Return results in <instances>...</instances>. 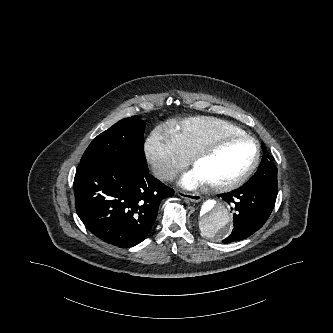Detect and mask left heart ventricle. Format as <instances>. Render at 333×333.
Here are the masks:
<instances>
[{"label":"left heart ventricle","mask_w":333,"mask_h":333,"mask_svg":"<svg viewBox=\"0 0 333 333\" xmlns=\"http://www.w3.org/2000/svg\"><path fill=\"white\" fill-rule=\"evenodd\" d=\"M255 145L248 140H228L201 159L195 169L207 183H224L238 177L251 164Z\"/></svg>","instance_id":"b2bd125f"}]
</instances>
